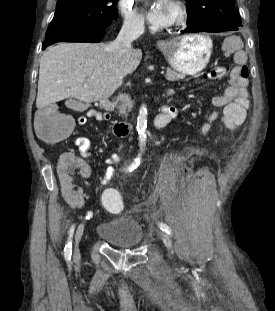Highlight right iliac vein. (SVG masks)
Here are the masks:
<instances>
[{
    "label": "right iliac vein",
    "instance_id": "right-iliac-vein-1",
    "mask_svg": "<svg viewBox=\"0 0 275 311\" xmlns=\"http://www.w3.org/2000/svg\"><path fill=\"white\" fill-rule=\"evenodd\" d=\"M85 224L82 223L78 226L76 233H75V250H74V259H77L80 257V252H79V242L81 240V237L83 235Z\"/></svg>",
    "mask_w": 275,
    "mask_h": 311
}]
</instances>
